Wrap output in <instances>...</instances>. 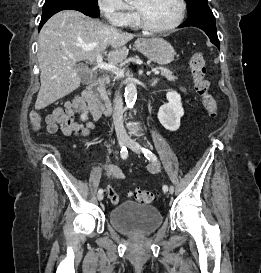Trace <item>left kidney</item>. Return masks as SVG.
I'll return each instance as SVG.
<instances>
[{"label": "left kidney", "mask_w": 261, "mask_h": 273, "mask_svg": "<svg viewBox=\"0 0 261 273\" xmlns=\"http://www.w3.org/2000/svg\"><path fill=\"white\" fill-rule=\"evenodd\" d=\"M168 103L160 107L158 119L162 126L169 131H176L180 127V119L184 115L181 96L175 91L166 94Z\"/></svg>", "instance_id": "obj_1"}]
</instances>
